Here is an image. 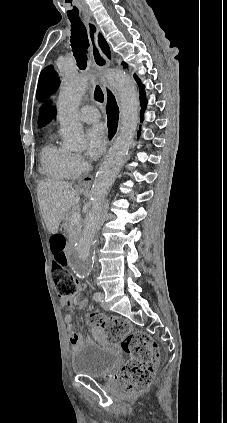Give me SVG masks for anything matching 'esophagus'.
<instances>
[{"instance_id":"esophagus-1","label":"esophagus","mask_w":227,"mask_h":423,"mask_svg":"<svg viewBox=\"0 0 227 423\" xmlns=\"http://www.w3.org/2000/svg\"><path fill=\"white\" fill-rule=\"evenodd\" d=\"M86 27L88 31V38L90 42V53L93 60L94 66L99 71H104L109 67V59L104 55L102 52L99 43H98V36L100 29L98 25H96L94 20L88 19L86 20ZM102 86L105 92V112L107 121L106 124L109 126V131L107 135V143H112L114 140V136L117 134L116 131V124L119 128L120 118H121V109L118 101L117 94L115 93L114 89L107 83L105 79L102 77ZM94 178V174H88L82 176L80 180H78L79 184H91Z\"/></svg>"}]
</instances>
